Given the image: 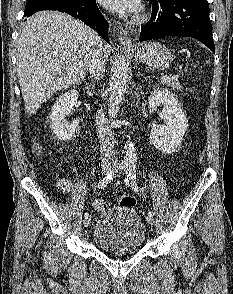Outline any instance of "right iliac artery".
Masks as SVG:
<instances>
[{"mask_svg": "<svg viewBox=\"0 0 233 294\" xmlns=\"http://www.w3.org/2000/svg\"><path fill=\"white\" fill-rule=\"evenodd\" d=\"M125 165H127L125 162H122V163H120L117 167H116V169H115V173L116 172H119V171H121V170H123V169H125ZM113 177H114V172L112 173H110V174H108L106 177H104L100 182H99V184H98V188L99 189H103V188H105L110 182H111V180L113 179ZM85 218H89L90 217V215H89V213H85Z\"/></svg>", "mask_w": 233, "mask_h": 294, "instance_id": "82829eb1", "label": "right iliac artery"}]
</instances>
